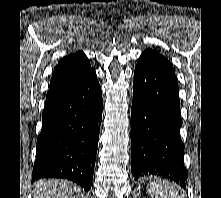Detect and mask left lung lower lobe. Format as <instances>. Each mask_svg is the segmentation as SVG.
Here are the masks:
<instances>
[{"label": "left lung lower lobe", "mask_w": 221, "mask_h": 198, "mask_svg": "<svg viewBox=\"0 0 221 198\" xmlns=\"http://www.w3.org/2000/svg\"><path fill=\"white\" fill-rule=\"evenodd\" d=\"M178 91L172 66L143 52L135 67L131 109V172L136 180L153 174L185 188L188 175L182 157Z\"/></svg>", "instance_id": "left-lung-lower-lobe-1"}]
</instances>
